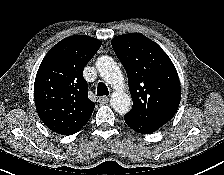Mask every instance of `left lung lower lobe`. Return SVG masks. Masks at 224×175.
I'll use <instances>...</instances> for the list:
<instances>
[{"label":"left lung lower lobe","instance_id":"0a47b994","mask_svg":"<svg viewBox=\"0 0 224 175\" xmlns=\"http://www.w3.org/2000/svg\"><path fill=\"white\" fill-rule=\"evenodd\" d=\"M125 123L131 129L135 130L136 132L142 133V134L153 133L164 125L161 123H153V124L138 123V122H134V121H131L128 119H125Z\"/></svg>","mask_w":224,"mask_h":175}]
</instances>
